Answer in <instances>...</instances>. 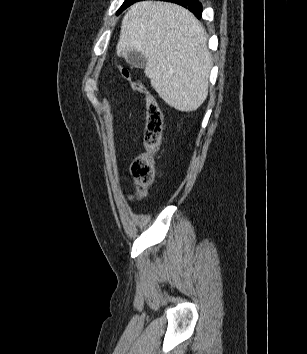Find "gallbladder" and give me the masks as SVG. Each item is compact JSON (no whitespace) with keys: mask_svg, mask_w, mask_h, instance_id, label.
<instances>
[{"mask_svg":"<svg viewBox=\"0 0 307 354\" xmlns=\"http://www.w3.org/2000/svg\"><path fill=\"white\" fill-rule=\"evenodd\" d=\"M124 57L126 61L134 67L142 69L146 66V58L139 52H127Z\"/></svg>","mask_w":307,"mask_h":354,"instance_id":"gallbladder-1","label":"gallbladder"}]
</instances>
